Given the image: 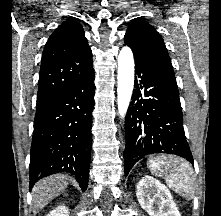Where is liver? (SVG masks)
I'll use <instances>...</instances> for the list:
<instances>
[{"instance_id":"obj_1","label":"liver","mask_w":221,"mask_h":216,"mask_svg":"<svg viewBox=\"0 0 221 216\" xmlns=\"http://www.w3.org/2000/svg\"><path fill=\"white\" fill-rule=\"evenodd\" d=\"M68 177L57 174L38 181L33 189V212L36 214L42 210L49 201L60 195L67 187Z\"/></svg>"}]
</instances>
